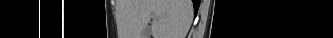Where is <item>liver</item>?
I'll use <instances>...</instances> for the list:
<instances>
[{
    "mask_svg": "<svg viewBox=\"0 0 333 38\" xmlns=\"http://www.w3.org/2000/svg\"><path fill=\"white\" fill-rule=\"evenodd\" d=\"M137 36H141L151 17L153 38H185L192 22L191 0H138Z\"/></svg>",
    "mask_w": 333,
    "mask_h": 38,
    "instance_id": "obj_1",
    "label": "liver"
}]
</instances>
